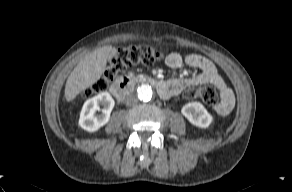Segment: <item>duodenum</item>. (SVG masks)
<instances>
[{
  "label": "duodenum",
  "instance_id": "1",
  "mask_svg": "<svg viewBox=\"0 0 292 192\" xmlns=\"http://www.w3.org/2000/svg\"><path fill=\"white\" fill-rule=\"evenodd\" d=\"M144 82L154 86L161 97H167L169 94V85L164 80L145 78ZM137 80L131 78H121L117 80L111 87V93L118 101H123L126 96L132 91Z\"/></svg>",
  "mask_w": 292,
  "mask_h": 192
}]
</instances>
